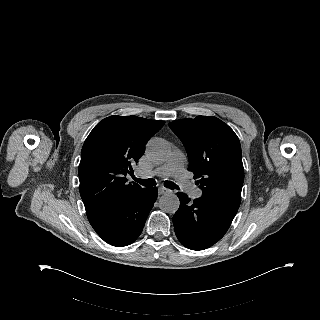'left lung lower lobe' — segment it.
I'll list each match as a JSON object with an SVG mask.
<instances>
[{"label": "left lung lower lobe", "mask_w": 320, "mask_h": 320, "mask_svg": "<svg viewBox=\"0 0 320 320\" xmlns=\"http://www.w3.org/2000/svg\"><path fill=\"white\" fill-rule=\"evenodd\" d=\"M180 207L173 216L179 241L191 250H204L219 241L229 229L237 212L211 199L190 201L178 192Z\"/></svg>", "instance_id": "1"}]
</instances>
